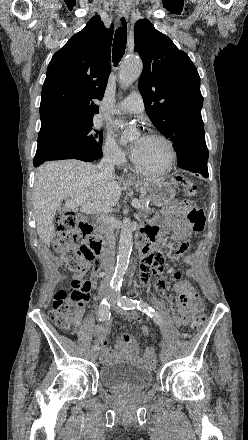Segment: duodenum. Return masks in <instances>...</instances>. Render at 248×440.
Instances as JSON below:
<instances>
[{"label": "duodenum", "mask_w": 248, "mask_h": 440, "mask_svg": "<svg viewBox=\"0 0 248 440\" xmlns=\"http://www.w3.org/2000/svg\"><path fill=\"white\" fill-rule=\"evenodd\" d=\"M92 223L93 220L91 218H84L81 226L82 233L89 238L93 250L99 255L105 256L107 252L105 243L101 238L92 235ZM138 249L142 258L150 257L155 251V247L150 242L143 240L139 241ZM101 275H103V271L99 273V276Z\"/></svg>", "instance_id": "410a0bca"}]
</instances>
